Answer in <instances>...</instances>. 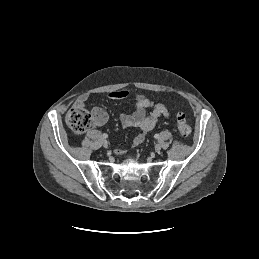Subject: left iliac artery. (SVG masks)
Wrapping results in <instances>:
<instances>
[{"instance_id":"44dca946","label":"left iliac artery","mask_w":259,"mask_h":259,"mask_svg":"<svg viewBox=\"0 0 259 259\" xmlns=\"http://www.w3.org/2000/svg\"><path fill=\"white\" fill-rule=\"evenodd\" d=\"M154 137H155L156 139H158V138H159V134H155Z\"/></svg>"}]
</instances>
